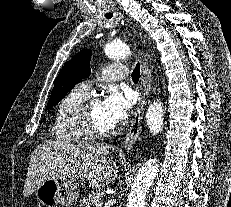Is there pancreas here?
Segmentation results:
<instances>
[{
  "instance_id": "pancreas-1",
  "label": "pancreas",
  "mask_w": 231,
  "mask_h": 207,
  "mask_svg": "<svg viewBox=\"0 0 231 207\" xmlns=\"http://www.w3.org/2000/svg\"><path fill=\"white\" fill-rule=\"evenodd\" d=\"M103 193L99 190L97 192H91L86 197L80 200V207H91L95 203L102 204Z\"/></svg>"
}]
</instances>
